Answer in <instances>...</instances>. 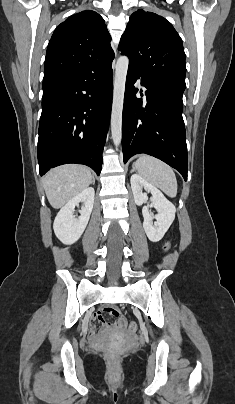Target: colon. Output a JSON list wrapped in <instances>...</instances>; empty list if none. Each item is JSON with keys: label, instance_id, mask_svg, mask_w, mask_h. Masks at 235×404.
<instances>
[{"label": "colon", "instance_id": "5ec220e1", "mask_svg": "<svg viewBox=\"0 0 235 404\" xmlns=\"http://www.w3.org/2000/svg\"><path fill=\"white\" fill-rule=\"evenodd\" d=\"M170 246H171L170 241L166 242L163 247L164 251L165 252L169 251ZM105 313L110 316L117 317L119 311L117 308H114V307H106ZM106 326L110 330H116V329H121L123 327H127V330L131 333H134L137 331V323L134 321L127 323V320L123 317L117 318L114 321H107Z\"/></svg>", "mask_w": 235, "mask_h": 404}]
</instances>
